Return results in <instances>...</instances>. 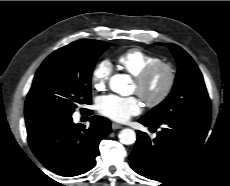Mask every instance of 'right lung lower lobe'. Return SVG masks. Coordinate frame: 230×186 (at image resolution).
I'll list each match as a JSON object with an SVG mask.
<instances>
[{"label":"right lung lower lobe","mask_w":230,"mask_h":186,"mask_svg":"<svg viewBox=\"0 0 230 186\" xmlns=\"http://www.w3.org/2000/svg\"><path fill=\"white\" fill-rule=\"evenodd\" d=\"M71 115L38 113L25 117L32 151L47 169L61 176H77L92 169L98 144L111 131L105 117H91V125L85 129L74 124Z\"/></svg>","instance_id":"98d812e1"}]
</instances>
